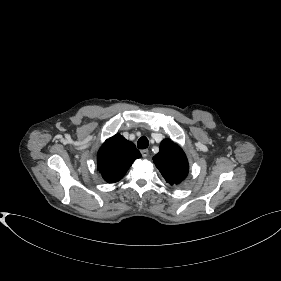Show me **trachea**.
Here are the masks:
<instances>
[{
    "mask_svg": "<svg viewBox=\"0 0 281 281\" xmlns=\"http://www.w3.org/2000/svg\"><path fill=\"white\" fill-rule=\"evenodd\" d=\"M149 145V141L145 136H142L139 138L138 142H137V147L139 149H146Z\"/></svg>",
    "mask_w": 281,
    "mask_h": 281,
    "instance_id": "obj_1",
    "label": "trachea"
}]
</instances>
